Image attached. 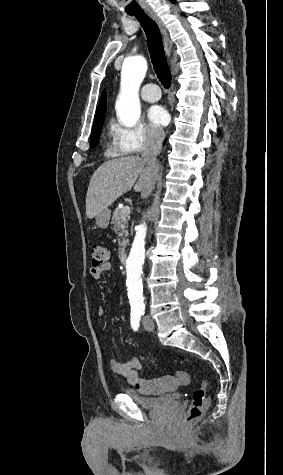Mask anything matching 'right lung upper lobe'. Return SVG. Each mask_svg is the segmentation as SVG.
Segmentation results:
<instances>
[{"mask_svg":"<svg viewBox=\"0 0 283 475\" xmlns=\"http://www.w3.org/2000/svg\"><path fill=\"white\" fill-rule=\"evenodd\" d=\"M102 105H106V92H105V90L102 92L98 107L102 106Z\"/></svg>","mask_w":283,"mask_h":475,"instance_id":"cb5924a9","label":"right lung upper lobe"}]
</instances>
